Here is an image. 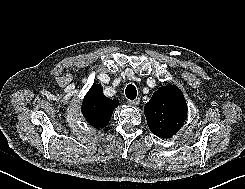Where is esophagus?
<instances>
[{
    "mask_svg": "<svg viewBox=\"0 0 245 189\" xmlns=\"http://www.w3.org/2000/svg\"><path fill=\"white\" fill-rule=\"evenodd\" d=\"M139 102H140V99L139 98L134 99V100H129V104L131 106H137L139 104Z\"/></svg>",
    "mask_w": 245,
    "mask_h": 189,
    "instance_id": "obj_1",
    "label": "esophagus"
}]
</instances>
